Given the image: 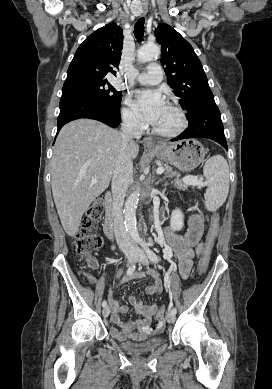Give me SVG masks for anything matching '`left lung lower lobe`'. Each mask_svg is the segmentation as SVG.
<instances>
[{
    "instance_id": "left-lung-lower-lobe-1",
    "label": "left lung lower lobe",
    "mask_w": 272,
    "mask_h": 389,
    "mask_svg": "<svg viewBox=\"0 0 272 389\" xmlns=\"http://www.w3.org/2000/svg\"><path fill=\"white\" fill-rule=\"evenodd\" d=\"M187 119L189 127L172 141L197 137L208 138L218 142L228 150L220 111L214 100L204 103L187 116Z\"/></svg>"
}]
</instances>
